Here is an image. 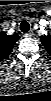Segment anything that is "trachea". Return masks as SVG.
<instances>
[{
	"instance_id": "1",
	"label": "trachea",
	"mask_w": 51,
	"mask_h": 101,
	"mask_svg": "<svg viewBox=\"0 0 51 101\" xmlns=\"http://www.w3.org/2000/svg\"><path fill=\"white\" fill-rule=\"evenodd\" d=\"M30 29V25L27 21H22L21 24H20V30L22 32H28Z\"/></svg>"
}]
</instances>
